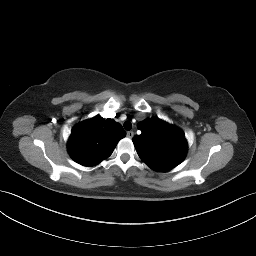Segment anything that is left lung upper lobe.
I'll return each instance as SVG.
<instances>
[{
    "instance_id": "1",
    "label": "left lung upper lobe",
    "mask_w": 256,
    "mask_h": 256,
    "mask_svg": "<svg viewBox=\"0 0 256 256\" xmlns=\"http://www.w3.org/2000/svg\"><path fill=\"white\" fill-rule=\"evenodd\" d=\"M137 128L142 133L132 140L139 157L150 168L166 172L183 161L187 141L182 130L159 118L141 121Z\"/></svg>"
}]
</instances>
